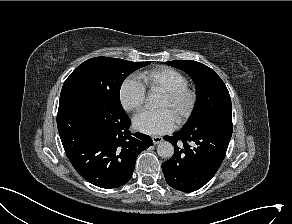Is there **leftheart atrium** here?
<instances>
[{"mask_svg":"<svg viewBox=\"0 0 292 224\" xmlns=\"http://www.w3.org/2000/svg\"><path fill=\"white\" fill-rule=\"evenodd\" d=\"M133 125L142 133L159 135L172 131L176 126V118L168 109L142 111L133 118Z\"/></svg>","mask_w":292,"mask_h":224,"instance_id":"1","label":"left heart atrium"}]
</instances>
